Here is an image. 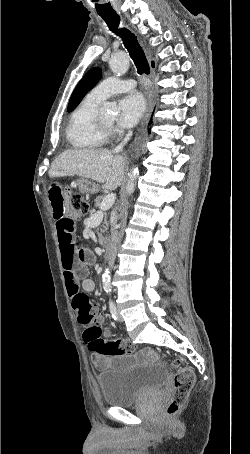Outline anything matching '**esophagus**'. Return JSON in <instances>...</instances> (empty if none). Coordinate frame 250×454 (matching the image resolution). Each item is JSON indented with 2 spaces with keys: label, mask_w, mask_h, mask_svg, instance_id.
Instances as JSON below:
<instances>
[{
  "label": "esophagus",
  "mask_w": 250,
  "mask_h": 454,
  "mask_svg": "<svg viewBox=\"0 0 250 454\" xmlns=\"http://www.w3.org/2000/svg\"><path fill=\"white\" fill-rule=\"evenodd\" d=\"M148 59H149V64H150L151 70H152V72H154L155 65L149 57H148ZM149 93H150V85L148 84L147 85V110H146V114H145V118H144L145 121L150 116V114L153 110V107H154V103H153L152 99L150 98Z\"/></svg>",
  "instance_id": "obj_1"
}]
</instances>
